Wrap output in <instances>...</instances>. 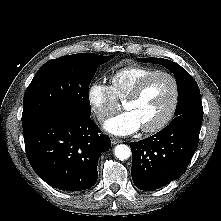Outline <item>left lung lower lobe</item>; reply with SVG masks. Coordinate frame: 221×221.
Instances as JSON below:
<instances>
[{"label": "left lung lower lobe", "mask_w": 221, "mask_h": 221, "mask_svg": "<svg viewBox=\"0 0 221 221\" xmlns=\"http://www.w3.org/2000/svg\"><path fill=\"white\" fill-rule=\"evenodd\" d=\"M202 122L169 124L155 135L130 144L132 179L137 188L151 191L180 178L194 155Z\"/></svg>", "instance_id": "1"}]
</instances>
